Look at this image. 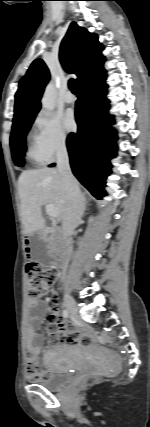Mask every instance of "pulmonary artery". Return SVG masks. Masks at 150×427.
<instances>
[{"label": "pulmonary artery", "mask_w": 150, "mask_h": 427, "mask_svg": "<svg viewBox=\"0 0 150 427\" xmlns=\"http://www.w3.org/2000/svg\"><path fill=\"white\" fill-rule=\"evenodd\" d=\"M63 100L65 103H73L74 102V96L71 92L67 91L64 96H63Z\"/></svg>", "instance_id": "e3ab8cb5"}]
</instances>
